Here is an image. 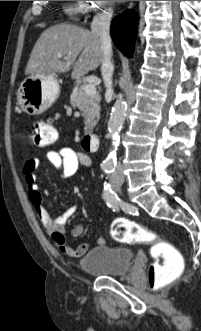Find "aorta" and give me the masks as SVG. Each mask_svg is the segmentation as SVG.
Masks as SVG:
<instances>
[{
	"label": "aorta",
	"instance_id": "aorta-1",
	"mask_svg": "<svg viewBox=\"0 0 201 331\" xmlns=\"http://www.w3.org/2000/svg\"><path fill=\"white\" fill-rule=\"evenodd\" d=\"M127 104L123 95H119L110 114L108 121V132L112 140V149L107 158L102 163L103 171H110L116 165V150L120 141V131L125 120Z\"/></svg>",
	"mask_w": 201,
	"mask_h": 331
}]
</instances>
